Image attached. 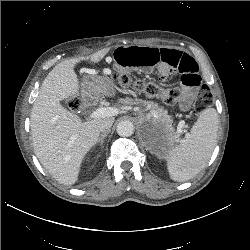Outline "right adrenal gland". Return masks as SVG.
<instances>
[{"label":"right adrenal gland","instance_id":"1","mask_svg":"<svg viewBox=\"0 0 250 250\" xmlns=\"http://www.w3.org/2000/svg\"><path fill=\"white\" fill-rule=\"evenodd\" d=\"M108 134H109V132L101 134L100 137H99V139H98V141L96 142V144L100 143V145L102 146L103 143H104V139H105V137H107Z\"/></svg>","mask_w":250,"mask_h":250}]
</instances>
